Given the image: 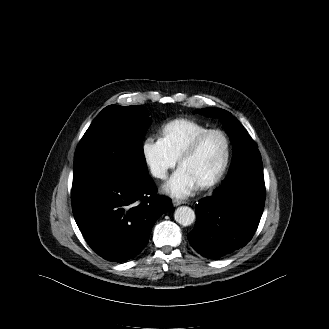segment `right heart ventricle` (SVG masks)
<instances>
[{
    "instance_id": "right-heart-ventricle-1",
    "label": "right heart ventricle",
    "mask_w": 329,
    "mask_h": 329,
    "mask_svg": "<svg viewBox=\"0 0 329 329\" xmlns=\"http://www.w3.org/2000/svg\"><path fill=\"white\" fill-rule=\"evenodd\" d=\"M208 128L189 119H175L166 123L160 130V139L178 159L187 145L200 133Z\"/></svg>"
}]
</instances>
